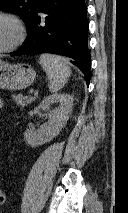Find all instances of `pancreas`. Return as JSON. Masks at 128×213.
<instances>
[{
    "instance_id": "obj_1",
    "label": "pancreas",
    "mask_w": 128,
    "mask_h": 213,
    "mask_svg": "<svg viewBox=\"0 0 128 213\" xmlns=\"http://www.w3.org/2000/svg\"><path fill=\"white\" fill-rule=\"evenodd\" d=\"M12 98L21 107H25V106L31 104V102H32L31 98L23 97L22 95H13Z\"/></svg>"
}]
</instances>
